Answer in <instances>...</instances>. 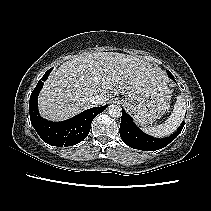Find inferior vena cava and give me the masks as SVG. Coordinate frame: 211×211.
<instances>
[{
  "label": "inferior vena cava",
  "mask_w": 211,
  "mask_h": 211,
  "mask_svg": "<svg viewBox=\"0 0 211 211\" xmlns=\"http://www.w3.org/2000/svg\"><path fill=\"white\" fill-rule=\"evenodd\" d=\"M102 96L101 95H94L91 98H89V104L91 106H97L102 104Z\"/></svg>",
  "instance_id": "602c4592"
}]
</instances>
